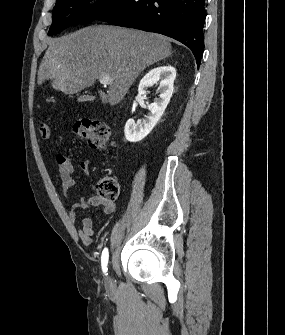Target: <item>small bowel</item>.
<instances>
[{"instance_id":"obj_1","label":"small bowel","mask_w":285,"mask_h":335,"mask_svg":"<svg viewBox=\"0 0 285 335\" xmlns=\"http://www.w3.org/2000/svg\"><path fill=\"white\" fill-rule=\"evenodd\" d=\"M56 162L59 170L61 190L64 194H68L71 188L75 185V179L73 177L74 165L69 158L61 154L57 156ZM79 167L85 175H88L90 171V161H81ZM99 205L103 206L105 214H112L115 211V205L113 203L106 202L97 196H91L88 198H81L72 205L69 212V219L75 223L78 220L77 210L79 208L86 209ZM94 234L95 231L92 219L90 217H83L81 219V228L78 231L80 240L83 244L90 245L93 242Z\"/></svg>"}]
</instances>
